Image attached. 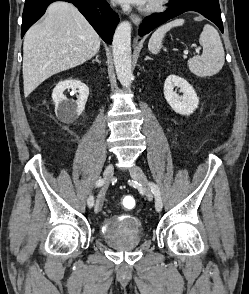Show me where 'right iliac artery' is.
<instances>
[{
    "instance_id": "82829eb1",
    "label": "right iliac artery",
    "mask_w": 249,
    "mask_h": 294,
    "mask_svg": "<svg viewBox=\"0 0 249 294\" xmlns=\"http://www.w3.org/2000/svg\"><path fill=\"white\" fill-rule=\"evenodd\" d=\"M104 184V180L103 179H98L97 181H96V187H100V186H102ZM87 204H88V206L91 208V207H93V205H94V197L93 196H90L89 198H88V201H87Z\"/></svg>"
}]
</instances>
